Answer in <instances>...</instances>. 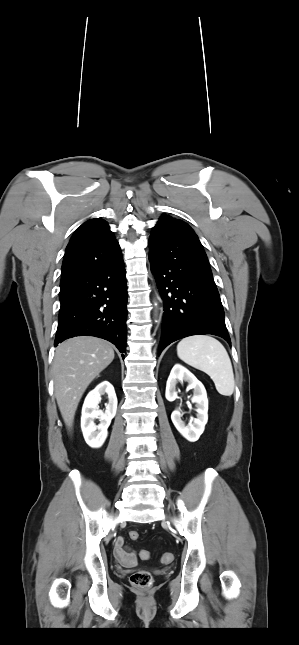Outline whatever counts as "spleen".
Masks as SVG:
<instances>
[{"instance_id": "spleen-1", "label": "spleen", "mask_w": 299, "mask_h": 645, "mask_svg": "<svg viewBox=\"0 0 299 645\" xmlns=\"http://www.w3.org/2000/svg\"><path fill=\"white\" fill-rule=\"evenodd\" d=\"M177 355L186 364L209 375L219 394H233L235 381L232 364L226 349L218 340L207 335L186 337L178 343Z\"/></svg>"}]
</instances>
